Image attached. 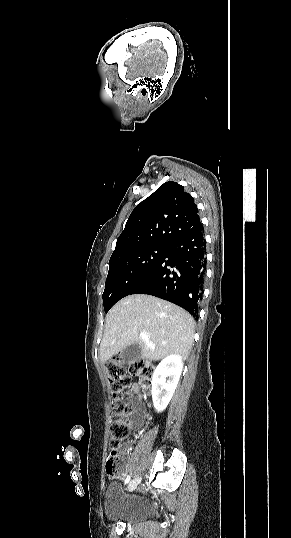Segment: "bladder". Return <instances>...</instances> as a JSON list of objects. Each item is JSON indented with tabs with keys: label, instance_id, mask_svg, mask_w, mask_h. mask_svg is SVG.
I'll return each mask as SVG.
<instances>
[{
	"label": "bladder",
	"instance_id": "31cf9c89",
	"mask_svg": "<svg viewBox=\"0 0 291 538\" xmlns=\"http://www.w3.org/2000/svg\"><path fill=\"white\" fill-rule=\"evenodd\" d=\"M119 481L113 482L105 493L106 518L112 522L135 523L146 519L151 504L144 497L130 493Z\"/></svg>",
	"mask_w": 291,
	"mask_h": 538
}]
</instances>
